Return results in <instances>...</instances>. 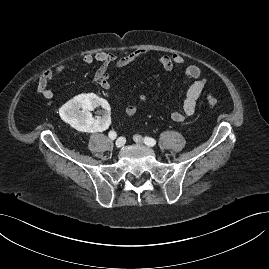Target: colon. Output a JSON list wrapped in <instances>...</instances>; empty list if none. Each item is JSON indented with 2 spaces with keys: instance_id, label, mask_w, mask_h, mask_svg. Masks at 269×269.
I'll use <instances>...</instances> for the list:
<instances>
[{
  "instance_id": "colon-1",
  "label": "colon",
  "mask_w": 269,
  "mask_h": 269,
  "mask_svg": "<svg viewBox=\"0 0 269 269\" xmlns=\"http://www.w3.org/2000/svg\"><path fill=\"white\" fill-rule=\"evenodd\" d=\"M205 100L209 105H216L218 104L220 98L217 93L214 92H207L205 96Z\"/></svg>"
}]
</instances>
